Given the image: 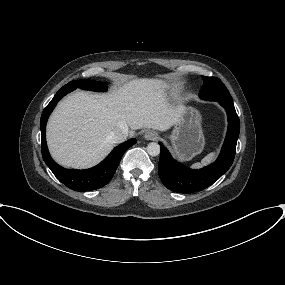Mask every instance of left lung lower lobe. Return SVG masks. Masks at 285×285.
I'll return each mask as SVG.
<instances>
[{"instance_id":"0a47b994","label":"left lung lower lobe","mask_w":285,"mask_h":285,"mask_svg":"<svg viewBox=\"0 0 285 285\" xmlns=\"http://www.w3.org/2000/svg\"><path fill=\"white\" fill-rule=\"evenodd\" d=\"M220 103V102H219ZM228 115V131L218 159L211 165L193 170L176 162L161 145L158 172L162 183L178 193L202 191L217 181L232 165L240 132V121L234 104L220 103Z\"/></svg>"}]
</instances>
